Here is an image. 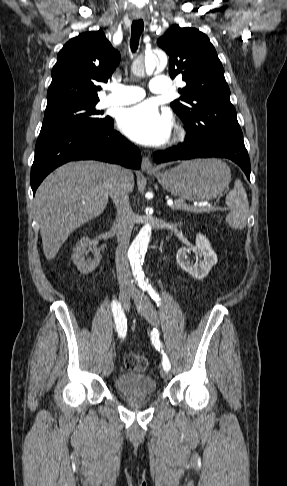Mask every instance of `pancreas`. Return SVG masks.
Returning <instances> with one entry per match:
<instances>
[{"mask_svg": "<svg viewBox=\"0 0 287 486\" xmlns=\"http://www.w3.org/2000/svg\"><path fill=\"white\" fill-rule=\"evenodd\" d=\"M174 203H175V205H178V204H179V205H185V204H186V203H185L183 200H181V199H176ZM172 209H174V210H175V209H180V208H175V207H172ZM213 210H214L213 208H207V209H205V210H204V212L210 213V212H212Z\"/></svg>", "mask_w": 287, "mask_h": 486, "instance_id": "obj_1", "label": "pancreas"}]
</instances>
